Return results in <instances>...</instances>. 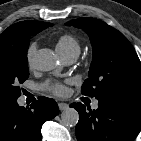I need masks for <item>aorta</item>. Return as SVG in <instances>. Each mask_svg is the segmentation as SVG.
Here are the masks:
<instances>
[{"mask_svg": "<svg viewBox=\"0 0 141 141\" xmlns=\"http://www.w3.org/2000/svg\"><path fill=\"white\" fill-rule=\"evenodd\" d=\"M33 65L40 71H50L56 66V58L49 49H40L33 56ZM62 123L65 126H76L79 114L74 108H66L61 114Z\"/></svg>", "mask_w": 141, "mask_h": 141, "instance_id": "1", "label": "aorta"}]
</instances>
